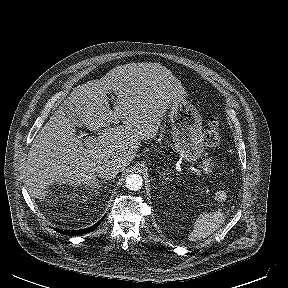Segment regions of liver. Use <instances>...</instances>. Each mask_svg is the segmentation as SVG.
<instances>
[{
    "label": "liver",
    "instance_id": "6515ba94",
    "mask_svg": "<svg viewBox=\"0 0 288 288\" xmlns=\"http://www.w3.org/2000/svg\"><path fill=\"white\" fill-rule=\"evenodd\" d=\"M109 92L117 96L114 110ZM184 94L169 69L151 62L121 65L75 87L32 142L25 167L28 192L42 200L53 183L93 185L96 167L105 162L120 163L124 170L141 141L156 137L168 107ZM71 113L79 114L88 130H101L98 137L89 142L76 137ZM119 120L123 125L110 127Z\"/></svg>",
    "mask_w": 288,
    "mask_h": 288
}]
</instances>
